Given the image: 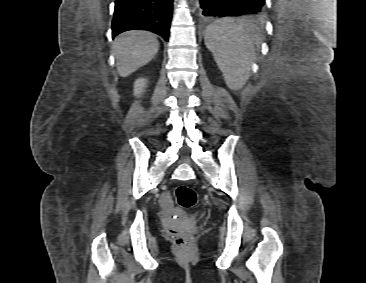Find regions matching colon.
Masks as SVG:
<instances>
[{
    "instance_id": "obj_1",
    "label": "colon",
    "mask_w": 366,
    "mask_h": 283,
    "mask_svg": "<svg viewBox=\"0 0 366 283\" xmlns=\"http://www.w3.org/2000/svg\"><path fill=\"white\" fill-rule=\"evenodd\" d=\"M175 200L181 207L190 208L196 204L197 194L191 187L179 185L175 189ZM171 234L178 246H184L190 240V233L185 229H174L171 231Z\"/></svg>"
}]
</instances>
